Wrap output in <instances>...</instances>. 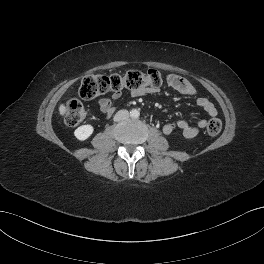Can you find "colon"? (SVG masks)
Wrapping results in <instances>:
<instances>
[{
  "instance_id": "colon-1",
  "label": "colon",
  "mask_w": 264,
  "mask_h": 264,
  "mask_svg": "<svg viewBox=\"0 0 264 264\" xmlns=\"http://www.w3.org/2000/svg\"><path fill=\"white\" fill-rule=\"evenodd\" d=\"M164 83L160 71L149 69L147 72L127 71L110 75L90 74L85 76L80 85L79 94L83 99H93L108 91L118 92L123 89L138 91L146 88H158ZM86 116L82 103L77 99L66 103L65 122L69 126L80 124ZM222 129V122L213 118L207 123V133L217 136Z\"/></svg>"
}]
</instances>
